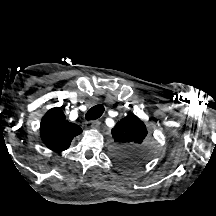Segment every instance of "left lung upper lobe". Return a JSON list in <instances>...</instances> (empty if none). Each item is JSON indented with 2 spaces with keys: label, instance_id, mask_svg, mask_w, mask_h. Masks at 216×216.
I'll list each match as a JSON object with an SVG mask.
<instances>
[{
  "label": "left lung upper lobe",
  "instance_id": "1",
  "mask_svg": "<svg viewBox=\"0 0 216 216\" xmlns=\"http://www.w3.org/2000/svg\"><path fill=\"white\" fill-rule=\"evenodd\" d=\"M111 134L114 139L111 156L122 167L135 168L153 156V141L148 136L144 122L134 114L119 120Z\"/></svg>",
  "mask_w": 216,
  "mask_h": 216
}]
</instances>
